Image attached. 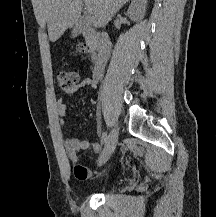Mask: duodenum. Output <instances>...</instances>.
<instances>
[{
	"label": "duodenum",
	"mask_w": 216,
	"mask_h": 217,
	"mask_svg": "<svg viewBox=\"0 0 216 217\" xmlns=\"http://www.w3.org/2000/svg\"><path fill=\"white\" fill-rule=\"evenodd\" d=\"M84 35L88 43L96 48L94 56L95 65L92 73L95 75L104 70L110 55V41L107 34L99 32L92 28H86Z\"/></svg>",
	"instance_id": "1"
}]
</instances>
